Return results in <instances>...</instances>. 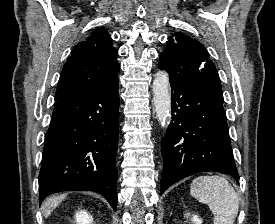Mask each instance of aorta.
I'll return each instance as SVG.
<instances>
[{
	"mask_svg": "<svg viewBox=\"0 0 275 224\" xmlns=\"http://www.w3.org/2000/svg\"><path fill=\"white\" fill-rule=\"evenodd\" d=\"M153 104L159 123L164 126L170 116L171 96L168 74L158 71L153 81Z\"/></svg>",
	"mask_w": 275,
	"mask_h": 224,
	"instance_id": "obj_1",
	"label": "aorta"
}]
</instances>
